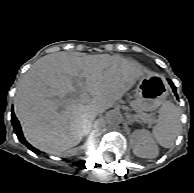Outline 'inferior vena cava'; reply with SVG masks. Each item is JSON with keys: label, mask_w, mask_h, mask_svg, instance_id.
I'll list each match as a JSON object with an SVG mask.
<instances>
[{"label": "inferior vena cava", "mask_w": 194, "mask_h": 193, "mask_svg": "<svg viewBox=\"0 0 194 193\" xmlns=\"http://www.w3.org/2000/svg\"><path fill=\"white\" fill-rule=\"evenodd\" d=\"M101 112H103L102 109L94 108L92 111H90V113L88 114V117H89V119H93L96 115H98Z\"/></svg>", "instance_id": "602c4592"}]
</instances>
